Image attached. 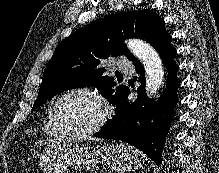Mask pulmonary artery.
Listing matches in <instances>:
<instances>
[{
	"mask_svg": "<svg viewBox=\"0 0 219 173\" xmlns=\"http://www.w3.org/2000/svg\"><path fill=\"white\" fill-rule=\"evenodd\" d=\"M116 66L118 70H120L123 73H128L133 70V65L130 61L126 59H120L116 62Z\"/></svg>",
	"mask_w": 219,
	"mask_h": 173,
	"instance_id": "obj_1",
	"label": "pulmonary artery"
}]
</instances>
